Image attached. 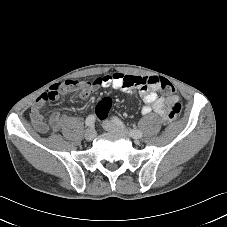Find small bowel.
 <instances>
[{
    "label": "small bowel",
    "mask_w": 227,
    "mask_h": 227,
    "mask_svg": "<svg viewBox=\"0 0 227 227\" xmlns=\"http://www.w3.org/2000/svg\"><path fill=\"white\" fill-rule=\"evenodd\" d=\"M158 79L157 76L143 77L113 73L94 78L90 82L67 80L54 84L47 92L39 96L30 108L29 117L32 125L39 132H46L49 126L54 130H59L65 120L63 115L59 112H53L46 121L41 113L42 107L48 101H53L61 94L76 89L80 90V98L86 100L96 88L112 87L128 94L138 92L144 102L142 114L154 111L165 121L174 122L181 115L180 99L174 93L167 94V96L160 95L158 92L160 87L155 83Z\"/></svg>",
    "instance_id": "obj_1"
}]
</instances>
